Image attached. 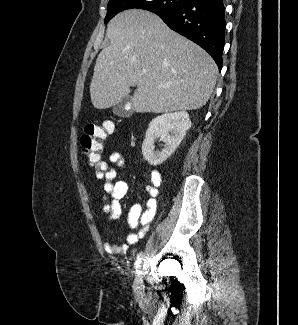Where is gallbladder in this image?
Wrapping results in <instances>:
<instances>
[{
    "label": "gallbladder",
    "instance_id": "bac80fb5",
    "mask_svg": "<svg viewBox=\"0 0 298 325\" xmlns=\"http://www.w3.org/2000/svg\"><path fill=\"white\" fill-rule=\"evenodd\" d=\"M131 96H125V98H122L120 102H117V104H114L112 110L114 114H117V116H129L131 110L128 108V104L130 102Z\"/></svg>",
    "mask_w": 298,
    "mask_h": 325
}]
</instances>
